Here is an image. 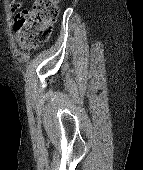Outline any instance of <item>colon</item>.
<instances>
[{"instance_id": "obj_1", "label": "colon", "mask_w": 143, "mask_h": 170, "mask_svg": "<svg viewBox=\"0 0 143 170\" xmlns=\"http://www.w3.org/2000/svg\"><path fill=\"white\" fill-rule=\"evenodd\" d=\"M59 0H34L31 9L18 14L15 29L23 34L25 45L36 47L51 34L58 16Z\"/></svg>"}]
</instances>
